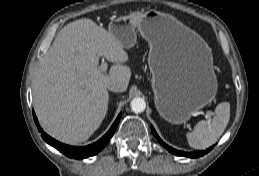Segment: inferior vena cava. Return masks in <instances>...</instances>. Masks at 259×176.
<instances>
[{
  "label": "inferior vena cava",
  "instance_id": "1",
  "mask_svg": "<svg viewBox=\"0 0 259 176\" xmlns=\"http://www.w3.org/2000/svg\"><path fill=\"white\" fill-rule=\"evenodd\" d=\"M108 89L110 91H114V92H119L120 91V86L116 83H111L109 86H108Z\"/></svg>",
  "mask_w": 259,
  "mask_h": 176
}]
</instances>
